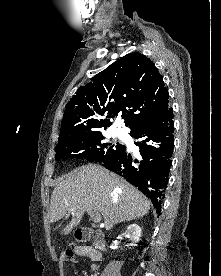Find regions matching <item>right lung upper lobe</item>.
<instances>
[{"label":"right lung upper lobe","mask_w":221,"mask_h":276,"mask_svg":"<svg viewBox=\"0 0 221 276\" xmlns=\"http://www.w3.org/2000/svg\"><path fill=\"white\" fill-rule=\"evenodd\" d=\"M93 82L81 86L66 104L59 142L83 137L111 125L109 119L121 113L131 130L149 123L169 109V93L154 63L133 52L121 57Z\"/></svg>","instance_id":"obj_1"}]
</instances>
